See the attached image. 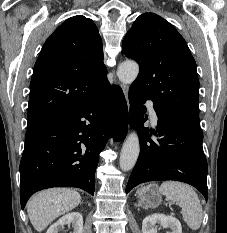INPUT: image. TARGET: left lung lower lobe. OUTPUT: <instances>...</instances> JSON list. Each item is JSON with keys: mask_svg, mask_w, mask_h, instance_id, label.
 <instances>
[{"mask_svg": "<svg viewBox=\"0 0 227 233\" xmlns=\"http://www.w3.org/2000/svg\"><path fill=\"white\" fill-rule=\"evenodd\" d=\"M146 99L150 98L129 89L130 126L138 131L141 148L126 193L140 183L176 180L197 188L207 201L208 166L202 147V130L154 101L157 128H145L147 115L143 103ZM152 134L161 138L154 141Z\"/></svg>", "mask_w": 227, "mask_h": 233, "instance_id": "1", "label": "left lung lower lobe"}]
</instances>
